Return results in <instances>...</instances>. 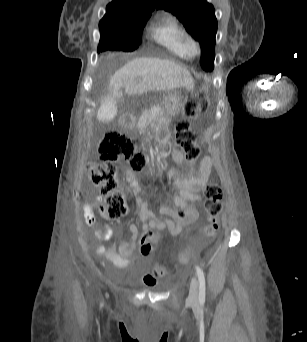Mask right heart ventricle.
Listing matches in <instances>:
<instances>
[{"instance_id": "right-heart-ventricle-1", "label": "right heart ventricle", "mask_w": 307, "mask_h": 342, "mask_svg": "<svg viewBox=\"0 0 307 342\" xmlns=\"http://www.w3.org/2000/svg\"><path fill=\"white\" fill-rule=\"evenodd\" d=\"M192 34L189 27L175 15H169L155 41L170 55L178 59L192 56L190 43Z\"/></svg>"}]
</instances>
